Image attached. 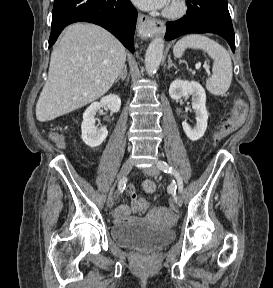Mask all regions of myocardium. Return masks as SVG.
I'll return each instance as SVG.
<instances>
[{
    "label": "myocardium",
    "instance_id": "obj_1",
    "mask_svg": "<svg viewBox=\"0 0 273 288\" xmlns=\"http://www.w3.org/2000/svg\"><path fill=\"white\" fill-rule=\"evenodd\" d=\"M188 5L186 0H172L164 11L167 18L177 19L186 14Z\"/></svg>",
    "mask_w": 273,
    "mask_h": 288
}]
</instances>
